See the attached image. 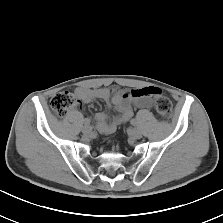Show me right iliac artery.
Instances as JSON below:
<instances>
[{
    "instance_id": "right-iliac-artery-1",
    "label": "right iliac artery",
    "mask_w": 223,
    "mask_h": 223,
    "mask_svg": "<svg viewBox=\"0 0 223 223\" xmlns=\"http://www.w3.org/2000/svg\"><path fill=\"white\" fill-rule=\"evenodd\" d=\"M89 123H90V120H85V121H84V124H85V125H88ZM85 125H84V126H85Z\"/></svg>"
}]
</instances>
